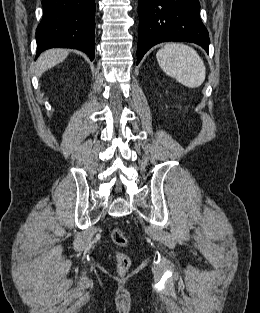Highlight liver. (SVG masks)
Wrapping results in <instances>:
<instances>
[{
	"label": "liver",
	"mask_w": 260,
	"mask_h": 313,
	"mask_svg": "<svg viewBox=\"0 0 260 313\" xmlns=\"http://www.w3.org/2000/svg\"><path fill=\"white\" fill-rule=\"evenodd\" d=\"M69 51L67 49L55 48L43 52L35 63V74L41 76L45 71L63 62Z\"/></svg>",
	"instance_id": "1"
}]
</instances>
